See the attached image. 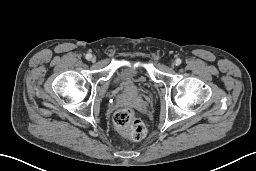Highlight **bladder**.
I'll return each instance as SVG.
<instances>
[{
	"label": "bladder",
	"instance_id": "1",
	"mask_svg": "<svg viewBox=\"0 0 256 171\" xmlns=\"http://www.w3.org/2000/svg\"><path fill=\"white\" fill-rule=\"evenodd\" d=\"M116 81L123 91L129 93L149 87V83L142 77L140 69L133 66L122 68L117 74Z\"/></svg>",
	"mask_w": 256,
	"mask_h": 171
}]
</instances>
